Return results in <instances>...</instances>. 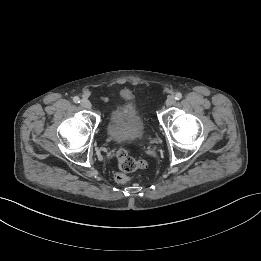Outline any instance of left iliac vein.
Instances as JSON below:
<instances>
[{"instance_id": "1", "label": "left iliac vein", "mask_w": 261, "mask_h": 261, "mask_svg": "<svg viewBox=\"0 0 261 261\" xmlns=\"http://www.w3.org/2000/svg\"><path fill=\"white\" fill-rule=\"evenodd\" d=\"M176 102L175 97L173 95L168 96L166 99V106L170 107L172 105H174Z\"/></svg>"}]
</instances>
